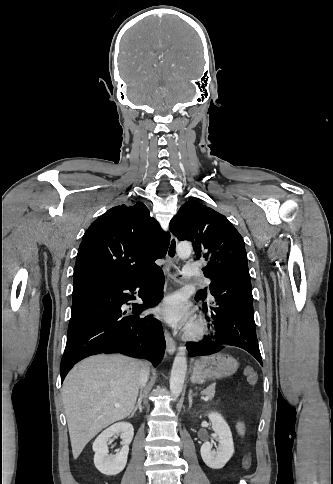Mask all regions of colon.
I'll list each match as a JSON object with an SVG mask.
<instances>
[{
    "label": "colon",
    "mask_w": 333,
    "mask_h": 484,
    "mask_svg": "<svg viewBox=\"0 0 333 484\" xmlns=\"http://www.w3.org/2000/svg\"><path fill=\"white\" fill-rule=\"evenodd\" d=\"M244 374L246 376V379L249 385L252 387L255 386L258 380L257 372L251 367H246L244 370ZM250 466H251V456L249 453H247L243 458L242 467L243 469L247 470L250 468Z\"/></svg>",
    "instance_id": "obj_1"
}]
</instances>
